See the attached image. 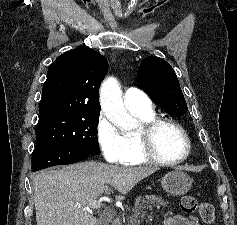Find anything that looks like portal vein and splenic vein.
Returning a JSON list of instances; mask_svg holds the SVG:
<instances>
[{
  "label": "portal vein and splenic vein",
  "mask_w": 237,
  "mask_h": 225,
  "mask_svg": "<svg viewBox=\"0 0 237 225\" xmlns=\"http://www.w3.org/2000/svg\"><path fill=\"white\" fill-rule=\"evenodd\" d=\"M105 205L102 204V200H92L88 203L87 208H92V209H100L104 207Z\"/></svg>",
  "instance_id": "portal-vein-and-splenic-vein-1"
}]
</instances>
